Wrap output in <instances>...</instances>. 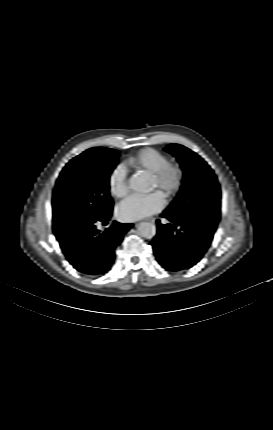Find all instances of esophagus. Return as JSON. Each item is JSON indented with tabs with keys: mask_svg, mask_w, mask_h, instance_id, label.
Here are the masks:
<instances>
[{
	"mask_svg": "<svg viewBox=\"0 0 273 430\" xmlns=\"http://www.w3.org/2000/svg\"><path fill=\"white\" fill-rule=\"evenodd\" d=\"M148 221H150V222H152V223H154V218H149V219H147Z\"/></svg>",
	"mask_w": 273,
	"mask_h": 430,
	"instance_id": "34e87169",
	"label": "esophagus"
}]
</instances>
